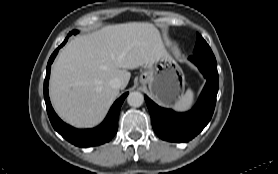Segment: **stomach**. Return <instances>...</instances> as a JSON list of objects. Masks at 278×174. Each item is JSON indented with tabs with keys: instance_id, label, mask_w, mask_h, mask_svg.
Listing matches in <instances>:
<instances>
[{
	"instance_id": "obj_1",
	"label": "stomach",
	"mask_w": 278,
	"mask_h": 174,
	"mask_svg": "<svg viewBox=\"0 0 278 174\" xmlns=\"http://www.w3.org/2000/svg\"><path fill=\"white\" fill-rule=\"evenodd\" d=\"M148 85L152 96L164 106H172L185 90V76L178 63L169 55L144 66L139 79Z\"/></svg>"
}]
</instances>
